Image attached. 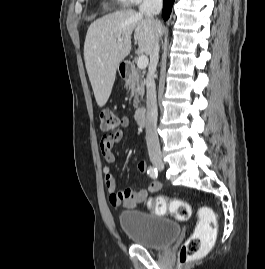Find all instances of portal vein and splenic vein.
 <instances>
[{
	"mask_svg": "<svg viewBox=\"0 0 265 269\" xmlns=\"http://www.w3.org/2000/svg\"><path fill=\"white\" fill-rule=\"evenodd\" d=\"M123 38L119 37L118 42H121ZM148 66V57L146 55H140L137 60V67L139 69H145Z\"/></svg>",
	"mask_w": 265,
	"mask_h": 269,
	"instance_id": "obj_1",
	"label": "portal vein and splenic vein"
}]
</instances>
